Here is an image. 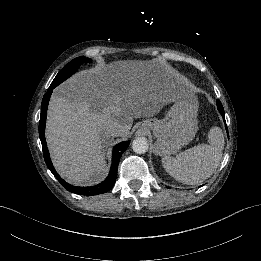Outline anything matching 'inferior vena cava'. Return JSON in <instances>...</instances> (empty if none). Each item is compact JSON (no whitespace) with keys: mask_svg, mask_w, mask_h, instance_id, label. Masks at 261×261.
Returning a JSON list of instances; mask_svg holds the SVG:
<instances>
[{"mask_svg":"<svg viewBox=\"0 0 261 261\" xmlns=\"http://www.w3.org/2000/svg\"><path fill=\"white\" fill-rule=\"evenodd\" d=\"M108 130H109L110 134H111L112 136H115V137L122 135V134H123V131H124V129L122 128V126H121L119 123H117V122L111 124V125L108 127Z\"/></svg>","mask_w":261,"mask_h":261,"instance_id":"1","label":"inferior vena cava"}]
</instances>
